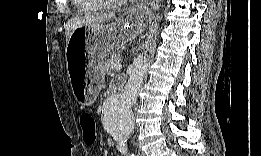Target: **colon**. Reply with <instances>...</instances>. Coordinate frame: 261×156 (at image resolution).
<instances>
[{
	"instance_id": "5ec220e1",
	"label": "colon",
	"mask_w": 261,
	"mask_h": 156,
	"mask_svg": "<svg viewBox=\"0 0 261 156\" xmlns=\"http://www.w3.org/2000/svg\"><path fill=\"white\" fill-rule=\"evenodd\" d=\"M79 123L82 129L83 139L87 145H93L97 139V124L93 115L89 112L80 114Z\"/></svg>"
}]
</instances>
